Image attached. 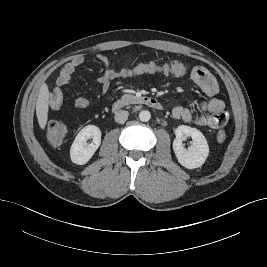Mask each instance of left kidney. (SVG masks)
<instances>
[{"label": "left kidney", "mask_w": 267, "mask_h": 267, "mask_svg": "<svg viewBox=\"0 0 267 267\" xmlns=\"http://www.w3.org/2000/svg\"><path fill=\"white\" fill-rule=\"evenodd\" d=\"M175 135L173 150L178 162L187 169L201 167L209 154V146L204 135L198 129L187 125L178 126ZM187 136H190L193 140L188 149L184 148L182 144Z\"/></svg>", "instance_id": "left-kidney-1"}]
</instances>
